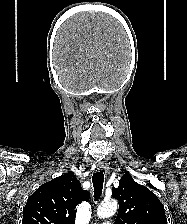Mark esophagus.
Wrapping results in <instances>:
<instances>
[{
    "instance_id": "1",
    "label": "esophagus",
    "mask_w": 187,
    "mask_h": 224,
    "mask_svg": "<svg viewBox=\"0 0 187 224\" xmlns=\"http://www.w3.org/2000/svg\"><path fill=\"white\" fill-rule=\"evenodd\" d=\"M96 169H97L98 171L102 170V169H103V164H102V163H98V164L96 165Z\"/></svg>"
}]
</instances>
